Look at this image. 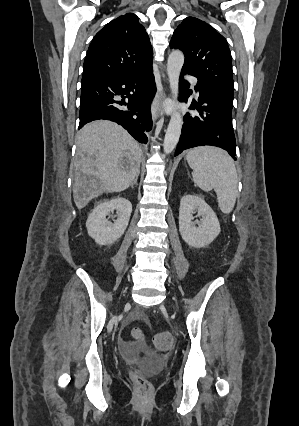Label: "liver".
Wrapping results in <instances>:
<instances>
[{"label":"liver","mask_w":299,"mask_h":426,"mask_svg":"<svg viewBox=\"0 0 299 426\" xmlns=\"http://www.w3.org/2000/svg\"><path fill=\"white\" fill-rule=\"evenodd\" d=\"M73 199L78 209L103 192H121L139 175L142 150L114 122L86 124L76 137Z\"/></svg>","instance_id":"liver-1"}]
</instances>
